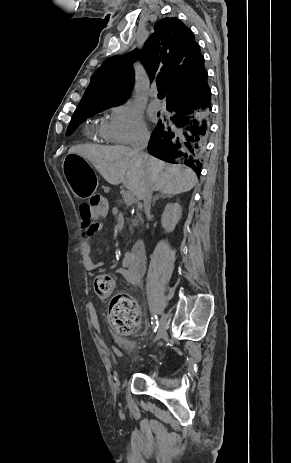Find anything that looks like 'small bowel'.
Here are the masks:
<instances>
[{"label":"small bowel","mask_w":291,"mask_h":463,"mask_svg":"<svg viewBox=\"0 0 291 463\" xmlns=\"http://www.w3.org/2000/svg\"><path fill=\"white\" fill-rule=\"evenodd\" d=\"M80 218L83 232V239L78 245V250L82 256L83 266L88 271H96L103 267V261H96L91 256V238L99 233L102 225L97 221L102 217H94L93 213L89 217L80 208ZM146 264L143 256L135 255L132 250L127 252L123 259V265L117 273L127 282L133 285H140L142 276L145 272Z\"/></svg>","instance_id":"c3829d8e"}]
</instances>
